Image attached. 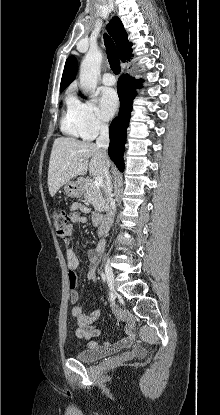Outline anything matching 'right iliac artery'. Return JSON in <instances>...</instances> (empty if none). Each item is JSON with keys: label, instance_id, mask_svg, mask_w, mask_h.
<instances>
[{"label": "right iliac artery", "instance_id": "right-iliac-artery-1", "mask_svg": "<svg viewBox=\"0 0 220 415\" xmlns=\"http://www.w3.org/2000/svg\"><path fill=\"white\" fill-rule=\"evenodd\" d=\"M101 278H102V280L105 282L106 281V276H105V274L102 272L101 273Z\"/></svg>", "mask_w": 220, "mask_h": 415}]
</instances>
